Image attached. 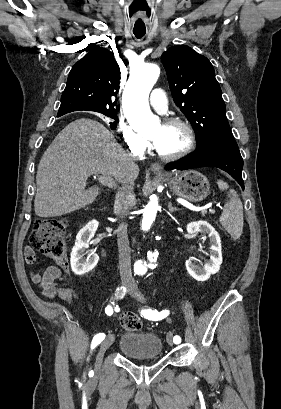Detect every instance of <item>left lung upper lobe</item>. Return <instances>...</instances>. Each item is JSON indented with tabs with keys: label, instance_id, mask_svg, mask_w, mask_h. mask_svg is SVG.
Wrapping results in <instances>:
<instances>
[{
	"label": "left lung upper lobe",
	"instance_id": "1",
	"mask_svg": "<svg viewBox=\"0 0 281 409\" xmlns=\"http://www.w3.org/2000/svg\"><path fill=\"white\" fill-rule=\"evenodd\" d=\"M176 105L191 122L197 147H238L231 132L221 88L210 61L186 45L161 56ZM196 147V148H197Z\"/></svg>",
	"mask_w": 281,
	"mask_h": 409
}]
</instances>
